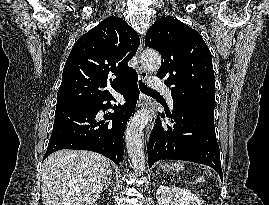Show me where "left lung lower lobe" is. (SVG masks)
<instances>
[{
    "label": "left lung lower lobe",
    "instance_id": "left-lung-lower-lobe-1",
    "mask_svg": "<svg viewBox=\"0 0 269 205\" xmlns=\"http://www.w3.org/2000/svg\"><path fill=\"white\" fill-rule=\"evenodd\" d=\"M214 108L215 102L206 100L173 102V114L166 113L174 125L157 118L151 131L147 146L149 167L162 159L191 161L212 167L223 179Z\"/></svg>",
    "mask_w": 269,
    "mask_h": 205
}]
</instances>
